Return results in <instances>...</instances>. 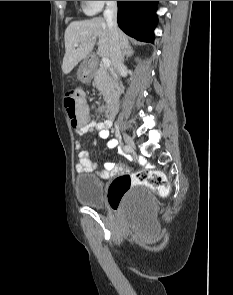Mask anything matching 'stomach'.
I'll use <instances>...</instances> for the list:
<instances>
[{"instance_id":"1","label":"stomach","mask_w":233,"mask_h":295,"mask_svg":"<svg viewBox=\"0 0 233 295\" xmlns=\"http://www.w3.org/2000/svg\"><path fill=\"white\" fill-rule=\"evenodd\" d=\"M91 78V65L89 64L88 60H85L78 69V79L83 83H87L91 80Z\"/></svg>"}]
</instances>
